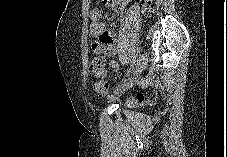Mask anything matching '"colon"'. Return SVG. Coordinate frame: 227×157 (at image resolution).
<instances>
[{
  "label": "colon",
  "instance_id": "1",
  "mask_svg": "<svg viewBox=\"0 0 227 157\" xmlns=\"http://www.w3.org/2000/svg\"><path fill=\"white\" fill-rule=\"evenodd\" d=\"M151 3L152 0H144L142 6V12L145 15L150 14L151 12ZM91 71L95 75H101L105 69V59L103 56H95L90 64ZM94 90L99 97H106L109 93V84L106 80L100 79L94 84ZM149 98L144 94H137L134 97L127 99V105L129 107H138L145 105L149 102Z\"/></svg>",
  "mask_w": 227,
  "mask_h": 157
}]
</instances>
